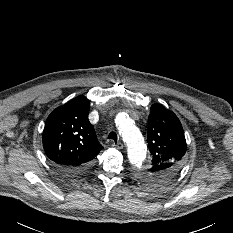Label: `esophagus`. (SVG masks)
I'll return each instance as SVG.
<instances>
[{"instance_id": "obj_1", "label": "esophagus", "mask_w": 233, "mask_h": 233, "mask_svg": "<svg viewBox=\"0 0 233 233\" xmlns=\"http://www.w3.org/2000/svg\"><path fill=\"white\" fill-rule=\"evenodd\" d=\"M112 146L117 149H122L124 147L122 142L113 143Z\"/></svg>"}]
</instances>
